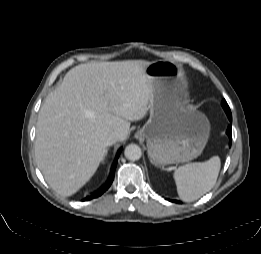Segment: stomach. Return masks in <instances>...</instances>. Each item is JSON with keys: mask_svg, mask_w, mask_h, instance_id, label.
<instances>
[{"mask_svg": "<svg viewBox=\"0 0 261 254\" xmlns=\"http://www.w3.org/2000/svg\"><path fill=\"white\" fill-rule=\"evenodd\" d=\"M144 72L152 82L150 117L136 138L146 140L150 162L164 166L197 158L207 144L210 124L204 114L186 104L180 66L154 61Z\"/></svg>", "mask_w": 261, "mask_h": 254, "instance_id": "obj_1", "label": "stomach"}]
</instances>
